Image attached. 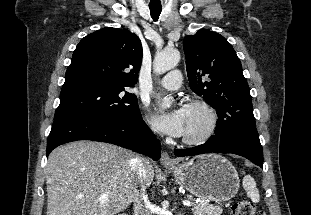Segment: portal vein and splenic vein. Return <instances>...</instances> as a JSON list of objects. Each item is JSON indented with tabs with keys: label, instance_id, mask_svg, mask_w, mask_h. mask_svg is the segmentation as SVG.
<instances>
[{
	"label": "portal vein and splenic vein",
	"instance_id": "portal-vein-and-splenic-vein-1",
	"mask_svg": "<svg viewBox=\"0 0 311 215\" xmlns=\"http://www.w3.org/2000/svg\"><path fill=\"white\" fill-rule=\"evenodd\" d=\"M107 199H108V194H103L100 196V201H105ZM182 202L185 206H192L193 205V203L190 202L189 200H183Z\"/></svg>",
	"mask_w": 311,
	"mask_h": 215
}]
</instances>
